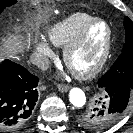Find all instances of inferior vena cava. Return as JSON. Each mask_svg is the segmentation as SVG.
<instances>
[{
  "mask_svg": "<svg viewBox=\"0 0 133 133\" xmlns=\"http://www.w3.org/2000/svg\"><path fill=\"white\" fill-rule=\"evenodd\" d=\"M31 61L41 70H47L49 68V59L43 54L33 53L31 56Z\"/></svg>",
  "mask_w": 133,
  "mask_h": 133,
  "instance_id": "602c4592",
  "label": "inferior vena cava"
}]
</instances>
